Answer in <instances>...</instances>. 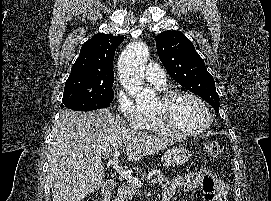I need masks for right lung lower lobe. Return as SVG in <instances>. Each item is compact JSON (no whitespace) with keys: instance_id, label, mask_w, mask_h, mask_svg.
Wrapping results in <instances>:
<instances>
[{"instance_id":"1","label":"right lung lower lobe","mask_w":271,"mask_h":201,"mask_svg":"<svg viewBox=\"0 0 271 201\" xmlns=\"http://www.w3.org/2000/svg\"><path fill=\"white\" fill-rule=\"evenodd\" d=\"M64 107H66V106H64L63 104H61V108H64ZM67 108V107H66ZM69 109H72V110H76V109H74V108H69ZM96 109H100V108H96ZM91 110H95V109H91ZM76 111H90V110H76Z\"/></svg>"}]
</instances>
